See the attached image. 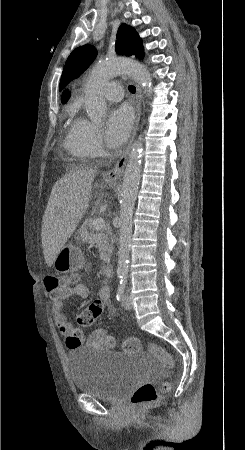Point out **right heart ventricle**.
<instances>
[{"instance_id":"right-heart-ventricle-1","label":"right heart ventricle","mask_w":245,"mask_h":450,"mask_svg":"<svg viewBox=\"0 0 245 450\" xmlns=\"http://www.w3.org/2000/svg\"><path fill=\"white\" fill-rule=\"evenodd\" d=\"M76 109L73 108L71 110V115H75ZM82 119L80 118H74L72 121L68 132L65 137L64 141V147L67 151H69L71 154L75 155L76 157H84L85 153L83 152V148L81 145V130H80V122Z\"/></svg>"}]
</instances>
